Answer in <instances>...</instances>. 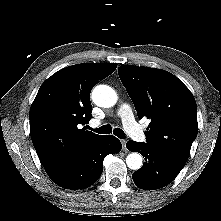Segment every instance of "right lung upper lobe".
<instances>
[{"instance_id": "cb5924a9", "label": "right lung upper lobe", "mask_w": 221, "mask_h": 221, "mask_svg": "<svg viewBox=\"0 0 221 221\" xmlns=\"http://www.w3.org/2000/svg\"><path fill=\"white\" fill-rule=\"evenodd\" d=\"M117 64L82 63L53 74L31 105L30 134L46 172L52 174L103 136L87 131L92 106L90 92Z\"/></svg>"}]
</instances>
